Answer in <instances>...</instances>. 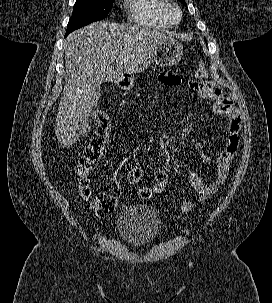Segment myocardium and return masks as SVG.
I'll list each match as a JSON object with an SVG mask.
<instances>
[{
    "instance_id": "f54148a6",
    "label": "myocardium",
    "mask_w": 272,
    "mask_h": 303,
    "mask_svg": "<svg viewBox=\"0 0 272 303\" xmlns=\"http://www.w3.org/2000/svg\"><path fill=\"white\" fill-rule=\"evenodd\" d=\"M164 17L169 25H176L181 21L182 13L176 4L166 3Z\"/></svg>"
}]
</instances>
